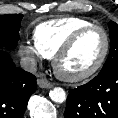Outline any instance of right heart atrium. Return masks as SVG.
Instances as JSON below:
<instances>
[{
    "instance_id": "right-heart-atrium-1",
    "label": "right heart atrium",
    "mask_w": 118,
    "mask_h": 118,
    "mask_svg": "<svg viewBox=\"0 0 118 118\" xmlns=\"http://www.w3.org/2000/svg\"><path fill=\"white\" fill-rule=\"evenodd\" d=\"M19 52L21 56L25 58L26 61L31 65L36 64L46 58L44 54L37 48V46L29 41L20 44Z\"/></svg>"
}]
</instances>
